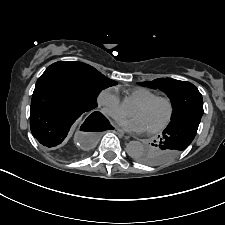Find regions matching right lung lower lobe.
Returning a JSON list of instances; mask_svg holds the SVG:
<instances>
[{
    "mask_svg": "<svg viewBox=\"0 0 225 225\" xmlns=\"http://www.w3.org/2000/svg\"><path fill=\"white\" fill-rule=\"evenodd\" d=\"M73 87L63 80L41 76L32 95L30 128L46 148L55 149L65 140L73 123L83 114L94 120L91 131L112 129L107 119Z\"/></svg>",
    "mask_w": 225,
    "mask_h": 225,
    "instance_id": "98d812e1",
    "label": "right lung lower lobe"
}]
</instances>
